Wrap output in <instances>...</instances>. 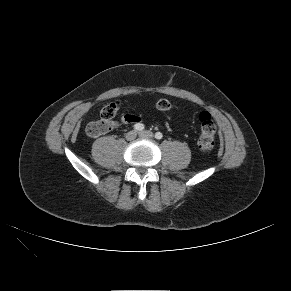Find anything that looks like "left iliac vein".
<instances>
[{
	"instance_id": "4c4485c4",
	"label": "left iliac vein",
	"mask_w": 291,
	"mask_h": 291,
	"mask_svg": "<svg viewBox=\"0 0 291 291\" xmlns=\"http://www.w3.org/2000/svg\"><path fill=\"white\" fill-rule=\"evenodd\" d=\"M139 136L143 137V138H152L153 137V133L150 131H141L139 132Z\"/></svg>"
}]
</instances>
